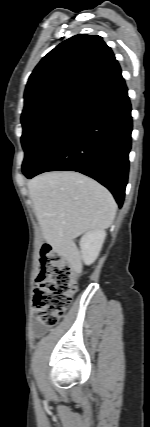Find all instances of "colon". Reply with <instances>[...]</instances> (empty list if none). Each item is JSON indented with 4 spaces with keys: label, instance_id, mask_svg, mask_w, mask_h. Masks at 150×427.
Returning <instances> with one entry per match:
<instances>
[{
    "label": "colon",
    "instance_id": "colon-1",
    "mask_svg": "<svg viewBox=\"0 0 150 427\" xmlns=\"http://www.w3.org/2000/svg\"><path fill=\"white\" fill-rule=\"evenodd\" d=\"M79 273L48 245L41 250V269L33 297V315L42 325L55 326L78 289Z\"/></svg>",
    "mask_w": 150,
    "mask_h": 427
}]
</instances>
